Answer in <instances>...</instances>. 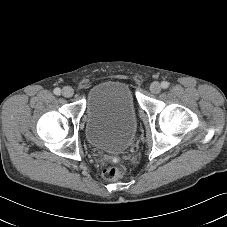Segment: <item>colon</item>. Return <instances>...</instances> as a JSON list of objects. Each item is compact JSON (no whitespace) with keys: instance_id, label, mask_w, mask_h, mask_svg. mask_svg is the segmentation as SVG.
<instances>
[{"instance_id":"1","label":"colon","mask_w":227,"mask_h":227,"mask_svg":"<svg viewBox=\"0 0 227 227\" xmlns=\"http://www.w3.org/2000/svg\"><path fill=\"white\" fill-rule=\"evenodd\" d=\"M123 175L121 168L117 166H109L105 168L102 172V176L107 181H116L120 179Z\"/></svg>"}]
</instances>
